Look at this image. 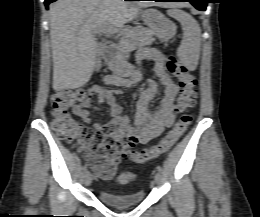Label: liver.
I'll use <instances>...</instances> for the list:
<instances>
[{
	"label": "liver",
	"mask_w": 260,
	"mask_h": 217,
	"mask_svg": "<svg viewBox=\"0 0 260 217\" xmlns=\"http://www.w3.org/2000/svg\"><path fill=\"white\" fill-rule=\"evenodd\" d=\"M165 8L170 3H126L123 0H58L50 5L53 55V89H76L91 78L98 44L95 29L121 28L137 17L141 8Z\"/></svg>",
	"instance_id": "6515ba94"
}]
</instances>
